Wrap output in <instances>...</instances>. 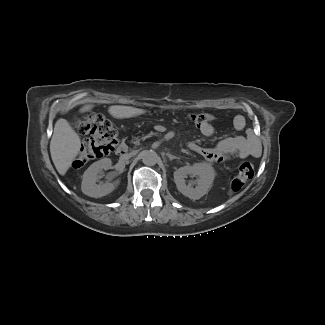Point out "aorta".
Wrapping results in <instances>:
<instances>
[{"label": "aorta", "mask_w": 325, "mask_h": 325, "mask_svg": "<svg viewBox=\"0 0 325 325\" xmlns=\"http://www.w3.org/2000/svg\"><path fill=\"white\" fill-rule=\"evenodd\" d=\"M142 162L147 166H154L158 161V155L153 150H144L141 153Z\"/></svg>", "instance_id": "aorta-1"}]
</instances>
